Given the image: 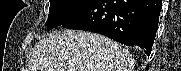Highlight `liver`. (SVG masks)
Returning <instances> with one entry per match:
<instances>
[{
  "label": "liver",
  "instance_id": "liver-1",
  "mask_svg": "<svg viewBox=\"0 0 181 71\" xmlns=\"http://www.w3.org/2000/svg\"><path fill=\"white\" fill-rule=\"evenodd\" d=\"M129 51L100 34L62 30L33 48L29 71H132Z\"/></svg>",
  "mask_w": 181,
  "mask_h": 71
}]
</instances>
